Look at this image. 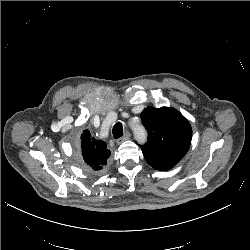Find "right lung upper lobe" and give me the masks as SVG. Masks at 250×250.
<instances>
[{
    "label": "right lung upper lobe",
    "instance_id": "cb5924a9",
    "mask_svg": "<svg viewBox=\"0 0 250 250\" xmlns=\"http://www.w3.org/2000/svg\"><path fill=\"white\" fill-rule=\"evenodd\" d=\"M78 151L83 164L93 170H102L111 154L106 143L91 137L88 130L81 134Z\"/></svg>",
    "mask_w": 250,
    "mask_h": 250
}]
</instances>
